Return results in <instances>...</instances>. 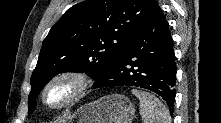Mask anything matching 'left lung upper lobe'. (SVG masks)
I'll list each match as a JSON object with an SVG mask.
<instances>
[{"instance_id": "5c2ea615", "label": "left lung upper lobe", "mask_w": 221, "mask_h": 123, "mask_svg": "<svg viewBox=\"0 0 221 123\" xmlns=\"http://www.w3.org/2000/svg\"><path fill=\"white\" fill-rule=\"evenodd\" d=\"M158 6L155 0H86L68 9L42 43L29 113L44 84L58 73L85 72L95 80L110 68Z\"/></svg>"}]
</instances>
